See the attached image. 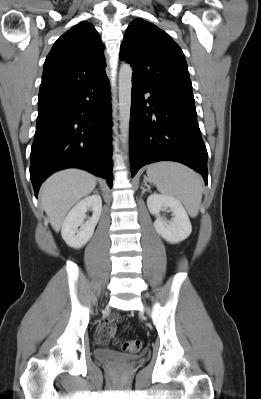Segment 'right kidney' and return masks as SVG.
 Returning <instances> with one entry per match:
<instances>
[{
    "label": "right kidney",
    "instance_id": "right-kidney-1",
    "mask_svg": "<svg viewBox=\"0 0 261 399\" xmlns=\"http://www.w3.org/2000/svg\"><path fill=\"white\" fill-rule=\"evenodd\" d=\"M89 209L93 211L92 217L83 223L85 213ZM101 211L102 199L98 194L85 197L79 201L70 210L62 225L61 235L66 244L76 249L83 247L93 236Z\"/></svg>",
    "mask_w": 261,
    "mask_h": 399
}]
</instances>
